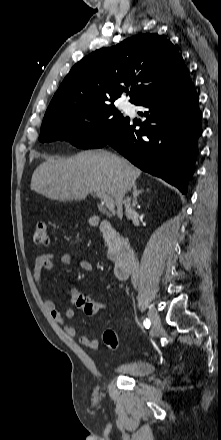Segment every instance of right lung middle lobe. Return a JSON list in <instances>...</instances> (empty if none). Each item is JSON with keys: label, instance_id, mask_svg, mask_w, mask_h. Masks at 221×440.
<instances>
[{"label": "right lung middle lobe", "instance_id": "obj_1", "mask_svg": "<svg viewBox=\"0 0 221 440\" xmlns=\"http://www.w3.org/2000/svg\"><path fill=\"white\" fill-rule=\"evenodd\" d=\"M84 118L92 123L82 122ZM127 119L111 103L97 107L75 104L46 111L39 140H68L78 148H101Z\"/></svg>", "mask_w": 221, "mask_h": 440}]
</instances>
